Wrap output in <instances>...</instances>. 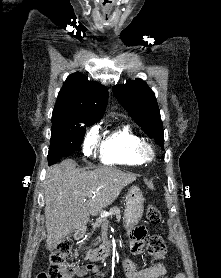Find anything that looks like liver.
Wrapping results in <instances>:
<instances>
[{
	"label": "liver",
	"mask_w": 221,
	"mask_h": 278,
	"mask_svg": "<svg viewBox=\"0 0 221 278\" xmlns=\"http://www.w3.org/2000/svg\"><path fill=\"white\" fill-rule=\"evenodd\" d=\"M46 176L44 212L49 250L71 231L84 229L90 214L112 204L121 190L136 180L134 174L112 167L80 172L71 159L48 168Z\"/></svg>",
	"instance_id": "obj_1"
}]
</instances>
